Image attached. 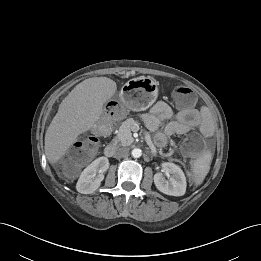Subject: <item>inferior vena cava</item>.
<instances>
[{
	"label": "inferior vena cava",
	"instance_id": "inferior-vena-cava-1",
	"mask_svg": "<svg viewBox=\"0 0 261 261\" xmlns=\"http://www.w3.org/2000/svg\"><path fill=\"white\" fill-rule=\"evenodd\" d=\"M129 154V148L127 147H117L114 151V157L119 159L123 157H127Z\"/></svg>",
	"mask_w": 261,
	"mask_h": 261
}]
</instances>
